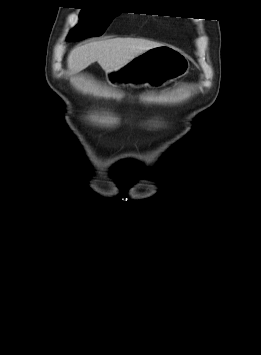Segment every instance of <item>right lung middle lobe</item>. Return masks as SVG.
Returning a JSON list of instances; mask_svg holds the SVG:
<instances>
[{"label":"right lung middle lobe","mask_w":261,"mask_h":355,"mask_svg":"<svg viewBox=\"0 0 261 355\" xmlns=\"http://www.w3.org/2000/svg\"><path fill=\"white\" fill-rule=\"evenodd\" d=\"M121 12L83 9L80 23L70 33V41H78L91 36L101 35L112 19Z\"/></svg>","instance_id":"right-lung-middle-lobe-1"}]
</instances>
